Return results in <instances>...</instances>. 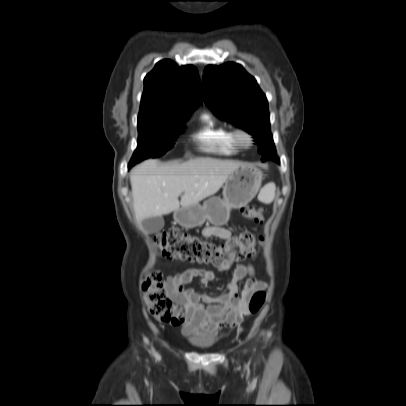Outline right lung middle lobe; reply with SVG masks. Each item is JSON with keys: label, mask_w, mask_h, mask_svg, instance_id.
<instances>
[{"label": "right lung middle lobe", "mask_w": 406, "mask_h": 406, "mask_svg": "<svg viewBox=\"0 0 406 406\" xmlns=\"http://www.w3.org/2000/svg\"><path fill=\"white\" fill-rule=\"evenodd\" d=\"M185 120L138 118V147L128 167L147 159L162 156L170 150L185 125Z\"/></svg>", "instance_id": "1"}]
</instances>
